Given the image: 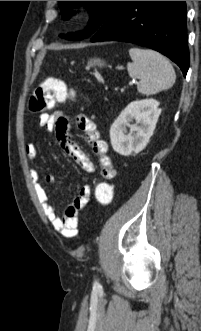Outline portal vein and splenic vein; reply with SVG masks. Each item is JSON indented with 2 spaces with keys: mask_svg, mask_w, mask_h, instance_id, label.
Masks as SVG:
<instances>
[{
  "mask_svg": "<svg viewBox=\"0 0 201 331\" xmlns=\"http://www.w3.org/2000/svg\"><path fill=\"white\" fill-rule=\"evenodd\" d=\"M134 82H130L129 84H133Z\"/></svg>",
  "mask_w": 201,
  "mask_h": 331,
  "instance_id": "portal-vein-and-splenic-vein-1",
  "label": "portal vein and splenic vein"
}]
</instances>
